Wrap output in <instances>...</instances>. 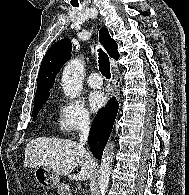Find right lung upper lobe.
<instances>
[{
  "mask_svg": "<svg viewBox=\"0 0 189 195\" xmlns=\"http://www.w3.org/2000/svg\"><path fill=\"white\" fill-rule=\"evenodd\" d=\"M99 39L109 56L118 59V45L110 37L106 28L99 31ZM72 44L69 39H62L54 43L46 52L37 79V91L34 103L49 96V90L53 86L56 74L60 71L63 64L71 57Z\"/></svg>",
  "mask_w": 189,
  "mask_h": 195,
  "instance_id": "cb5924a9",
  "label": "right lung upper lobe"
}]
</instances>
